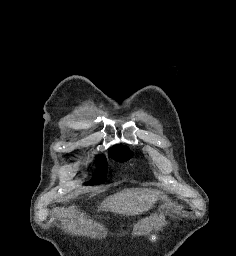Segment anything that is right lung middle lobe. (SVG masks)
<instances>
[{
  "instance_id": "1",
  "label": "right lung middle lobe",
  "mask_w": 236,
  "mask_h": 256,
  "mask_svg": "<svg viewBox=\"0 0 236 256\" xmlns=\"http://www.w3.org/2000/svg\"><path fill=\"white\" fill-rule=\"evenodd\" d=\"M109 155L116 161L125 162L129 160L133 153L126 146H115L109 150ZM98 168L94 179L88 182V185H97L103 183L106 179L107 161L104 155L98 156Z\"/></svg>"
}]
</instances>
